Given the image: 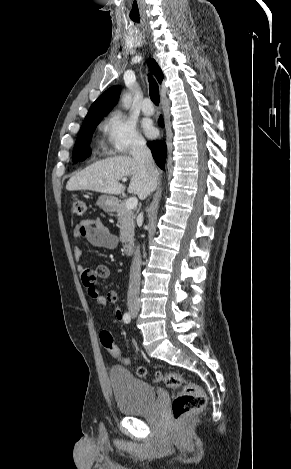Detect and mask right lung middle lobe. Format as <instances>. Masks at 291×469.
<instances>
[{
    "label": "right lung middle lobe",
    "instance_id": "1",
    "mask_svg": "<svg viewBox=\"0 0 291 469\" xmlns=\"http://www.w3.org/2000/svg\"><path fill=\"white\" fill-rule=\"evenodd\" d=\"M102 118L85 119L78 133L72 159L74 163L85 160L90 155V139Z\"/></svg>",
    "mask_w": 291,
    "mask_h": 469
}]
</instances>
